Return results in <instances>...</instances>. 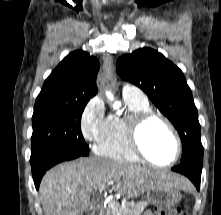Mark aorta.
I'll use <instances>...</instances> for the list:
<instances>
[{"mask_svg": "<svg viewBox=\"0 0 221 215\" xmlns=\"http://www.w3.org/2000/svg\"><path fill=\"white\" fill-rule=\"evenodd\" d=\"M106 95H107V98H108L110 101H113V100H114V96L112 95L111 92H106ZM119 107H120V103L115 102V103L113 104V108H114V109H118Z\"/></svg>", "mask_w": 221, "mask_h": 215, "instance_id": "obj_1", "label": "aorta"}]
</instances>
